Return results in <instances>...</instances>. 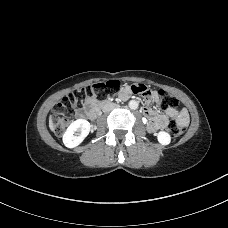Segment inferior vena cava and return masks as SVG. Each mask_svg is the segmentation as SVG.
I'll use <instances>...</instances> for the list:
<instances>
[{"label":"inferior vena cava","instance_id":"602c4592","mask_svg":"<svg viewBox=\"0 0 228 228\" xmlns=\"http://www.w3.org/2000/svg\"><path fill=\"white\" fill-rule=\"evenodd\" d=\"M118 105L117 104H114V103H111V104H108V105H105L103 107V112H110L112 111L113 109L117 108Z\"/></svg>","mask_w":228,"mask_h":228}]
</instances>
